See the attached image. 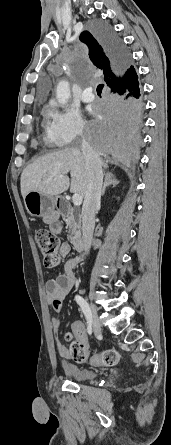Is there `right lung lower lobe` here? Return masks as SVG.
<instances>
[{"instance_id": "1", "label": "right lung lower lobe", "mask_w": 171, "mask_h": 445, "mask_svg": "<svg viewBox=\"0 0 171 445\" xmlns=\"http://www.w3.org/2000/svg\"><path fill=\"white\" fill-rule=\"evenodd\" d=\"M98 33L109 56L126 78L115 89H110L98 105L101 119H94L87 126L88 139L100 155L118 163L131 164L138 159L141 140L143 105L138 76L127 78L130 54L111 28L100 26Z\"/></svg>"}]
</instances>
